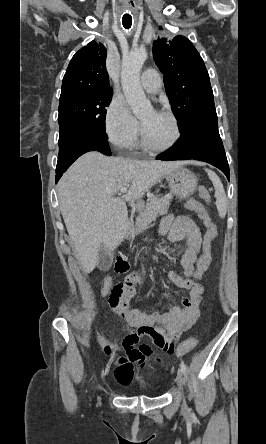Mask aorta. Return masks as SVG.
I'll return each mask as SVG.
<instances>
[{
	"label": "aorta",
	"instance_id": "1",
	"mask_svg": "<svg viewBox=\"0 0 266 444\" xmlns=\"http://www.w3.org/2000/svg\"><path fill=\"white\" fill-rule=\"evenodd\" d=\"M147 59L145 49H137L123 58L121 83L125 98L136 117H141L152 109L140 84V72Z\"/></svg>",
	"mask_w": 266,
	"mask_h": 444
}]
</instances>
